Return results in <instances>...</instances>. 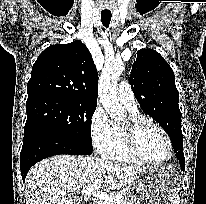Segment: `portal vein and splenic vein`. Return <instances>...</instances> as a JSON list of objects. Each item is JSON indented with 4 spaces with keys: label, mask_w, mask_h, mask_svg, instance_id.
Segmentation results:
<instances>
[{
    "label": "portal vein and splenic vein",
    "mask_w": 206,
    "mask_h": 204,
    "mask_svg": "<svg viewBox=\"0 0 206 204\" xmlns=\"http://www.w3.org/2000/svg\"><path fill=\"white\" fill-rule=\"evenodd\" d=\"M102 184V179H97L92 185L88 187H84L82 189V194L85 196H93L99 200V204H120L121 198L120 197H112L109 194L98 191L97 189ZM65 195L66 193H62Z\"/></svg>",
    "instance_id": "portal-vein-and-splenic-vein-1"
}]
</instances>
